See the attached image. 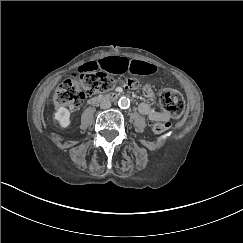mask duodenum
Here are the masks:
<instances>
[{"instance_id": "obj_1", "label": "duodenum", "mask_w": 243, "mask_h": 243, "mask_svg": "<svg viewBox=\"0 0 243 243\" xmlns=\"http://www.w3.org/2000/svg\"><path fill=\"white\" fill-rule=\"evenodd\" d=\"M118 97L117 93H108V94H103L99 95L97 97L91 98L88 103L91 105L97 104L102 101H112L115 100Z\"/></svg>"}]
</instances>
